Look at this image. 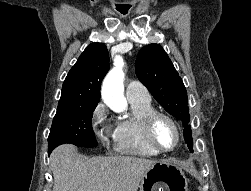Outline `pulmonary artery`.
Listing matches in <instances>:
<instances>
[{
    "label": "pulmonary artery",
    "instance_id": "e3ab8cb5",
    "mask_svg": "<svg viewBox=\"0 0 251 191\" xmlns=\"http://www.w3.org/2000/svg\"><path fill=\"white\" fill-rule=\"evenodd\" d=\"M126 96L129 100L147 97L148 99H151V101H152L151 96L146 95V92L135 81H131V82L127 83Z\"/></svg>",
    "mask_w": 251,
    "mask_h": 191
}]
</instances>
